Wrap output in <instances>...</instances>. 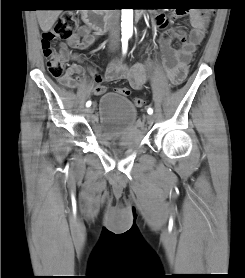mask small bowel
Returning a JSON list of instances; mask_svg holds the SVG:
<instances>
[{
	"label": "small bowel",
	"instance_id": "c3829d8e",
	"mask_svg": "<svg viewBox=\"0 0 245 278\" xmlns=\"http://www.w3.org/2000/svg\"><path fill=\"white\" fill-rule=\"evenodd\" d=\"M182 12H176L174 16H179ZM190 21L192 29L189 33L182 29H175L162 34L160 38V50L163 55V65L166 75L170 81L183 79L189 72V66L197 46L203 41L206 32V12L200 9H194L190 12ZM155 24L158 28H164L168 25V20L163 15L155 16ZM97 39V35L91 33L89 26H82L78 32L70 35L64 46L75 50L89 49ZM177 40L181 43L179 49L172 47V42ZM84 74V69L80 64H71L64 75L67 83L61 82L68 88H76ZM149 77L148 65L137 63L133 66H127L122 61L114 62L108 69L107 79H125L134 90L143 88ZM96 95L105 93L102 85H96L92 89Z\"/></svg>",
	"mask_w": 245,
	"mask_h": 278
}]
</instances>
